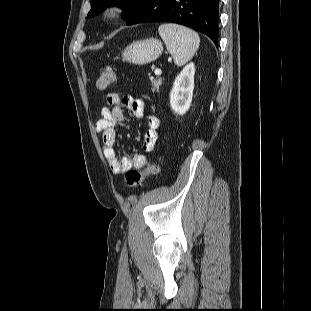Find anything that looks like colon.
Returning a JSON list of instances; mask_svg holds the SVG:
<instances>
[{"mask_svg":"<svg viewBox=\"0 0 311 311\" xmlns=\"http://www.w3.org/2000/svg\"><path fill=\"white\" fill-rule=\"evenodd\" d=\"M115 82V73L111 67H104L101 69L97 86L101 90H106ZM159 172V167L154 162H149L142 170L131 169L127 171L125 181L128 187L136 188L141 185L143 180L152 175H156Z\"/></svg>","mask_w":311,"mask_h":311,"instance_id":"5ec220e1","label":"colon"}]
</instances>
